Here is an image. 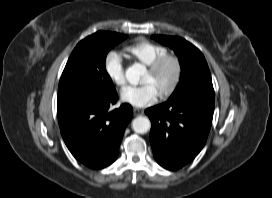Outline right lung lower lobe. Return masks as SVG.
I'll list each match as a JSON object with an SVG mask.
<instances>
[{"label": "right lung lower lobe", "instance_id": "obj_1", "mask_svg": "<svg viewBox=\"0 0 272 198\" xmlns=\"http://www.w3.org/2000/svg\"><path fill=\"white\" fill-rule=\"evenodd\" d=\"M117 93L105 98H82L57 105L61 135L70 152L93 169L115 161L132 107L122 104L112 111Z\"/></svg>", "mask_w": 272, "mask_h": 198}]
</instances>
